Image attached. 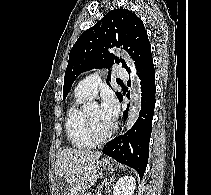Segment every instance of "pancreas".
I'll use <instances>...</instances> for the list:
<instances>
[{
    "label": "pancreas",
    "mask_w": 211,
    "mask_h": 195,
    "mask_svg": "<svg viewBox=\"0 0 211 195\" xmlns=\"http://www.w3.org/2000/svg\"><path fill=\"white\" fill-rule=\"evenodd\" d=\"M85 195H94V194H92V193L90 192V193H87V194H85Z\"/></svg>",
    "instance_id": "pancreas-1"
}]
</instances>
